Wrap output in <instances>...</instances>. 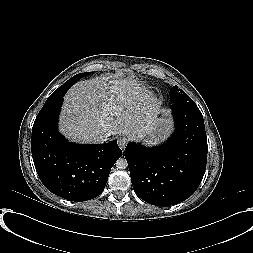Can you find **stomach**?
I'll return each mask as SVG.
<instances>
[{"instance_id":"obj_1","label":"stomach","mask_w":253,"mask_h":253,"mask_svg":"<svg viewBox=\"0 0 253 253\" xmlns=\"http://www.w3.org/2000/svg\"><path fill=\"white\" fill-rule=\"evenodd\" d=\"M171 121L167 117H155L151 123V131L144 137L148 144H155L162 141L170 132Z\"/></svg>"}]
</instances>
